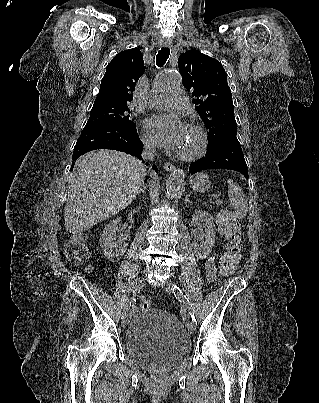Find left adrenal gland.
I'll return each mask as SVG.
<instances>
[{
  "label": "left adrenal gland",
  "instance_id": "1",
  "mask_svg": "<svg viewBox=\"0 0 319 403\" xmlns=\"http://www.w3.org/2000/svg\"><path fill=\"white\" fill-rule=\"evenodd\" d=\"M189 196H190V194L186 195L185 200H184V204H186L187 202L191 203L190 200H189Z\"/></svg>",
  "mask_w": 319,
  "mask_h": 403
}]
</instances>
